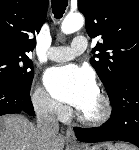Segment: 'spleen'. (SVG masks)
Segmentation results:
<instances>
[{"instance_id":"3e777b00","label":"spleen","mask_w":139,"mask_h":150,"mask_svg":"<svg viewBox=\"0 0 139 150\" xmlns=\"http://www.w3.org/2000/svg\"><path fill=\"white\" fill-rule=\"evenodd\" d=\"M116 149H117V150H134V149L131 148L130 146L122 145V144H117V145H116Z\"/></svg>"}]
</instances>
